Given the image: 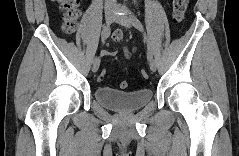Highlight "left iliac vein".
I'll list each match as a JSON object with an SVG mask.
<instances>
[{"label": "left iliac vein", "mask_w": 239, "mask_h": 156, "mask_svg": "<svg viewBox=\"0 0 239 156\" xmlns=\"http://www.w3.org/2000/svg\"><path fill=\"white\" fill-rule=\"evenodd\" d=\"M114 21L127 28L132 26L131 19L126 15H116ZM150 69L152 72L156 71V62L154 60L150 61Z\"/></svg>", "instance_id": "1"}]
</instances>
